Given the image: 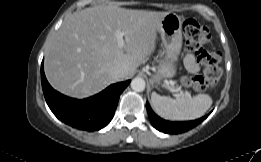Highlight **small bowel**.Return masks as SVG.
<instances>
[{
    "mask_svg": "<svg viewBox=\"0 0 261 162\" xmlns=\"http://www.w3.org/2000/svg\"><path fill=\"white\" fill-rule=\"evenodd\" d=\"M183 65L191 73H197L199 71V65L197 64L194 56L191 54L184 55Z\"/></svg>",
    "mask_w": 261,
    "mask_h": 162,
    "instance_id": "c3829d8e",
    "label": "small bowel"
}]
</instances>
